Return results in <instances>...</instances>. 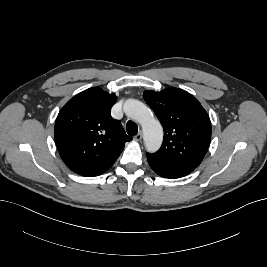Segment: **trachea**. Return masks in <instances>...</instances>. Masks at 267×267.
Listing matches in <instances>:
<instances>
[{
  "mask_svg": "<svg viewBox=\"0 0 267 267\" xmlns=\"http://www.w3.org/2000/svg\"><path fill=\"white\" fill-rule=\"evenodd\" d=\"M126 131L129 135H136L138 132V126L133 121H128L126 124Z\"/></svg>",
  "mask_w": 267,
  "mask_h": 267,
  "instance_id": "1",
  "label": "trachea"
}]
</instances>
